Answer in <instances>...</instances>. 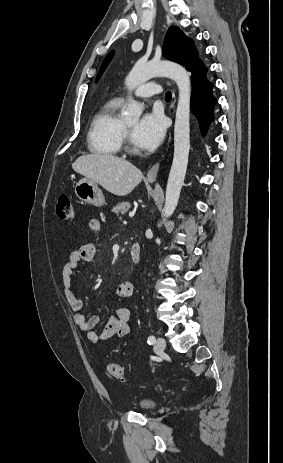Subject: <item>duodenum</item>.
Listing matches in <instances>:
<instances>
[{"label": "duodenum", "instance_id": "obj_1", "mask_svg": "<svg viewBox=\"0 0 283 463\" xmlns=\"http://www.w3.org/2000/svg\"><path fill=\"white\" fill-rule=\"evenodd\" d=\"M141 249L138 242H133L130 249V259L132 264H137L140 261Z\"/></svg>", "mask_w": 283, "mask_h": 463}]
</instances>
